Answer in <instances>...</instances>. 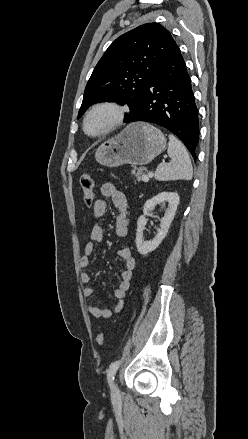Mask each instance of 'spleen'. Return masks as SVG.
<instances>
[{"instance_id": "3e777b00", "label": "spleen", "mask_w": 248, "mask_h": 439, "mask_svg": "<svg viewBox=\"0 0 248 439\" xmlns=\"http://www.w3.org/2000/svg\"><path fill=\"white\" fill-rule=\"evenodd\" d=\"M169 163H161L155 171V179L159 181L191 180L193 169L189 154L184 145L174 135H169Z\"/></svg>"}]
</instances>
